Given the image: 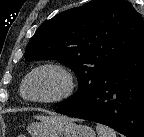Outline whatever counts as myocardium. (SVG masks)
<instances>
[{"label": "myocardium", "instance_id": "myocardium-1", "mask_svg": "<svg viewBox=\"0 0 144 137\" xmlns=\"http://www.w3.org/2000/svg\"><path fill=\"white\" fill-rule=\"evenodd\" d=\"M43 71H53L59 74L63 79V88L59 93H57L52 97L37 98L27 96L25 90L28 82L34 75ZM75 87H76L75 77L73 73L66 66L55 62H48L34 67L27 73V75L24 77L22 81L20 92L21 96L27 101L34 103L52 104L64 101L69 97H71L75 91Z\"/></svg>", "mask_w": 144, "mask_h": 137}]
</instances>
